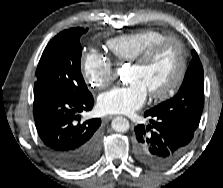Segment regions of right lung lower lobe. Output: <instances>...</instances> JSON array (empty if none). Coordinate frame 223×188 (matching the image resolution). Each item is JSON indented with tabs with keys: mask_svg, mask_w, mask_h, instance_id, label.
Returning a JSON list of instances; mask_svg holds the SVG:
<instances>
[{
	"mask_svg": "<svg viewBox=\"0 0 223 188\" xmlns=\"http://www.w3.org/2000/svg\"><path fill=\"white\" fill-rule=\"evenodd\" d=\"M93 96L84 99L46 89H34L33 114L38 135L52 161L68 171L92 165L100 154L101 119L80 122Z\"/></svg>",
	"mask_w": 223,
	"mask_h": 188,
	"instance_id": "98d812e1",
	"label": "right lung lower lobe"
}]
</instances>
